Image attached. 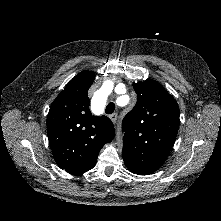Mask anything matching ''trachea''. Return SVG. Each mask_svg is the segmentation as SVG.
I'll use <instances>...</instances> for the list:
<instances>
[{
    "label": "trachea",
    "instance_id": "obj_1",
    "mask_svg": "<svg viewBox=\"0 0 221 221\" xmlns=\"http://www.w3.org/2000/svg\"><path fill=\"white\" fill-rule=\"evenodd\" d=\"M115 110V104L113 102L108 103L105 109L106 114H112Z\"/></svg>",
    "mask_w": 221,
    "mask_h": 221
}]
</instances>
